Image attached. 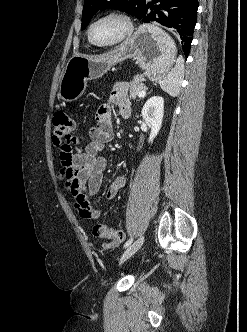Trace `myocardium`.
Listing matches in <instances>:
<instances>
[{"label": "myocardium", "instance_id": "myocardium-1", "mask_svg": "<svg viewBox=\"0 0 247 332\" xmlns=\"http://www.w3.org/2000/svg\"><path fill=\"white\" fill-rule=\"evenodd\" d=\"M106 18H116V19L120 20L124 25L123 32L117 39H115L112 42L104 43V44L95 43L91 37V30L98 21L106 19ZM133 30H134L133 22L127 14L118 12V11H110V12H106V13L96 17L89 24V26L87 28V38H88V41L90 42V44H92L95 47L111 48V47H115V46L121 44L122 42H124L133 33Z\"/></svg>", "mask_w": 247, "mask_h": 332}]
</instances>
